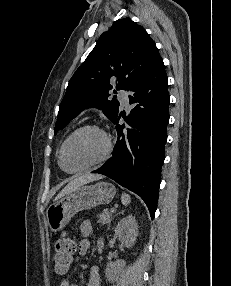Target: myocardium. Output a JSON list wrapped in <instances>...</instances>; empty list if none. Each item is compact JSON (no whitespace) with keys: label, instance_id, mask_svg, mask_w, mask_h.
I'll use <instances>...</instances> for the list:
<instances>
[{"label":"myocardium","instance_id":"myocardium-1","mask_svg":"<svg viewBox=\"0 0 231 286\" xmlns=\"http://www.w3.org/2000/svg\"><path fill=\"white\" fill-rule=\"evenodd\" d=\"M85 130H93V131H96V132L100 133L103 136V138L105 139V143H106L105 151H104L103 155L100 158H98L97 160L91 162L90 164H88L86 166H83V167H81L79 169H76V170H67L63 166V155H64L65 147L68 144V142L76 134H78L81 131H85ZM112 150H113L112 138H111L110 134L104 128H102L101 126L96 125V124H85V125H82V126L76 128L74 131H72L66 137V139L63 141V143L61 145V148H60V151H59L58 163H59L60 168L62 170H64L65 172H67V173H70V174L81 173V172L90 170V169H92L94 167H97V166L102 165L103 163H105L109 159V157H110V155L112 153Z\"/></svg>","mask_w":231,"mask_h":286}]
</instances>
